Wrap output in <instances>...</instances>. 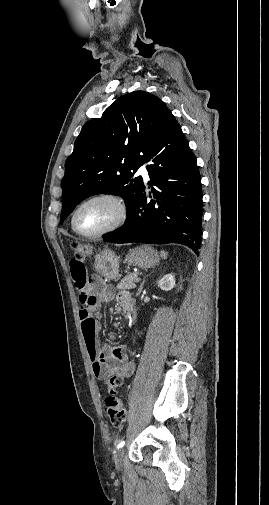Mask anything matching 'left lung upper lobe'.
Instances as JSON below:
<instances>
[{
  "label": "left lung upper lobe",
  "instance_id": "left-lung-upper-lobe-1",
  "mask_svg": "<svg viewBox=\"0 0 269 505\" xmlns=\"http://www.w3.org/2000/svg\"><path fill=\"white\" fill-rule=\"evenodd\" d=\"M168 112L158 97L134 91L82 127L61 181V222L82 200L99 193L120 195L130 217L142 184L141 176L133 175L145 163L150 139Z\"/></svg>",
  "mask_w": 269,
  "mask_h": 505
}]
</instances>
